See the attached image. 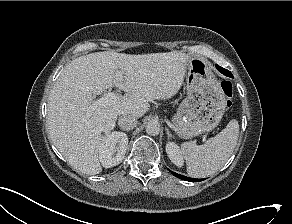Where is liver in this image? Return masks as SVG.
<instances>
[{
  "label": "liver",
  "mask_w": 292,
  "mask_h": 224,
  "mask_svg": "<svg viewBox=\"0 0 292 224\" xmlns=\"http://www.w3.org/2000/svg\"><path fill=\"white\" fill-rule=\"evenodd\" d=\"M188 57L177 51L143 55L105 51L73 60L62 70L48 99L47 122L56 148L75 169L99 174L102 133L114 130L119 115L140 118L150 109L149 102L176 94ZM113 86L127 96L115 104L93 99Z\"/></svg>",
  "instance_id": "6515ba94"
}]
</instances>
